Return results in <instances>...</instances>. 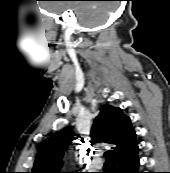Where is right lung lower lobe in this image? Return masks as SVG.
<instances>
[{
  "label": "right lung lower lobe",
  "mask_w": 170,
  "mask_h": 173,
  "mask_svg": "<svg viewBox=\"0 0 170 173\" xmlns=\"http://www.w3.org/2000/svg\"><path fill=\"white\" fill-rule=\"evenodd\" d=\"M113 173H141L139 172L138 144L113 157Z\"/></svg>",
  "instance_id": "right-lung-lower-lobe-1"
}]
</instances>
